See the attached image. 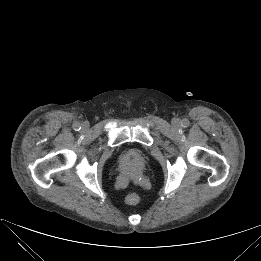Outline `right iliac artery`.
Listing matches in <instances>:
<instances>
[{"label":"right iliac artery","instance_id":"right-iliac-artery-1","mask_svg":"<svg viewBox=\"0 0 261 261\" xmlns=\"http://www.w3.org/2000/svg\"><path fill=\"white\" fill-rule=\"evenodd\" d=\"M73 128H74L75 131H79L81 129V125L79 123H75L73 125Z\"/></svg>","mask_w":261,"mask_h":261}]
</instances>
